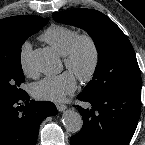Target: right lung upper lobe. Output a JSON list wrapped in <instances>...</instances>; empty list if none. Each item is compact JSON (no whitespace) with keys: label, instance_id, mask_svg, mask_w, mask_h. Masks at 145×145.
I'll return each mask as SVG.
<instances>
[{"label":"right lung upper lobe","instance_id":"1","mask_svg":"<svg viewBox=\"0 0 145 145\" xmlns=\"http://www.w3.org/2000/svg\"><path fill=\"white\" fill-rule=\"evenodd\" d=\"M25 17L26 15H21V16L8 17L0 20V54L7 53L9 49L8 44L4 39L5 33L9 29H11L12 26L21 22Z\"/></svg>","mask_w":145,"mask_h":145}]
</instances>
